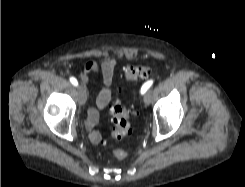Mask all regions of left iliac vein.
Listing matches in <instances>:
<instances>
[{
	"instance_id": "obj_1",
	"label": "left iliac vein",
	"mask_w": 245,
	"mask_h": 187,
	"mask_svg": "<svg viewBox=\"0 0 245 187\" xmlns=\"http://www.w3.org/2000/svg\"><path fill=\"white\" fill-rule=\"evenodd\" d=\"M150 93L147 92L145 95H144V102L146 105H148L150 103Z\"/></svg>"
}]
</instances>
